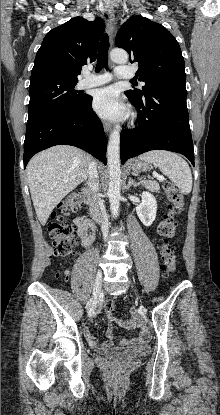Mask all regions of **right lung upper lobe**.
I'll use <instances>...</instances> for the list:
<instances>
[{
  "instance_id": "right-lung-upper-lobe-1",
  "label": "right lung upper lobe",
  "mask_w": 220,
  "mask_h": 415,
  "mask_svg": "<svg viewBox=\"0 0 220 415\" xmlns=\"http://www.w3.org/2000/svg\"><path fill=\"white\" fill-rule=\"evenodd\" d=\"M104 29L99 17L94 21L75 17L52 29L36 54L30 80L58 78L78 82L81 67L96 60Z\"/></svg>"
}]
</instances>
